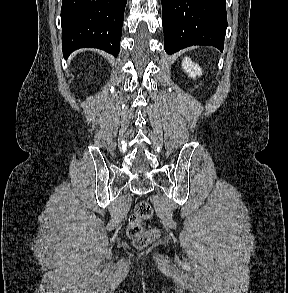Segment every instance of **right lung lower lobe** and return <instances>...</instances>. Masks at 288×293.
<instances>
[{"mask_svg":"<svg viewBox=\"0 0 288 293\" xmlns=\"http://www.w3.org/2000/svg\"><path fill=\"white\" fill-rule=\"evenodd\" d=\"M127 0H63L62 48L67 58L79 48H98L117 56Z\"/></svg>","mask_w":288,"mask_h":293,"instance_id":"98d812e1","label":"right lung lower lobe"}]
</instances>
